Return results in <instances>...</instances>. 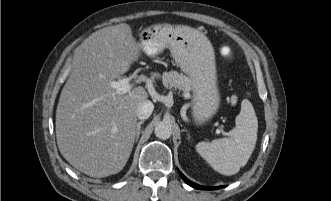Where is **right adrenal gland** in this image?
<instances>
[{"label": "right adrenal gland", "instance_id": "right-adrenal-gland-1", "mask_svg": "<svg viewBox=\"0 0 331 201\" xmlns=\"http://www.w3.org/2000/svg\"><path fill=\"white\" fill-rule=\"evenodd\" d=\"M144 123V120L142 121H139L137 123V127H136V138H135V141L137 142L138 139H139V136H140V130H141V125Z\"/></svg>", "mask_w": 331, "mask_h": 201}]
</instances>
